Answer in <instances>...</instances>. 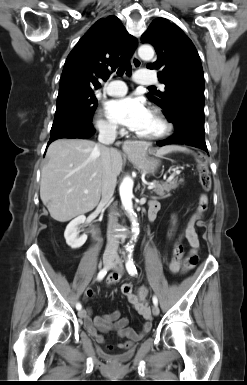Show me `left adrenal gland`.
<instances>
[{
    "instance_id": "left-adrenal-gland-1",
    "label": "left adrenal gland",
    "mask_w": 247,
    "mask_h": 385,
    "mask_svg": "<svg viewBox=\"0 0 247 385\" xmlns=\"http://www.w3.org/2000/svg\"><path fill=\"white\" fill-rule=\"evenodd\" d=\"M143 189H142V192H141V194L143 195V193H144V190H145V185L143 184Z\"/></svg>"
}]
</instances>
